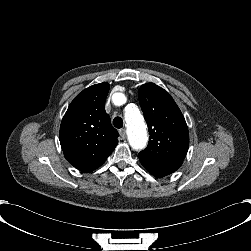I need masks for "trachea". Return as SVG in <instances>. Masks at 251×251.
<instances>
[{"instance_id": "obj_1", "label": "trachea", "mask_w": 251, "mask_h": 251, "mask_svg": "<svg viewBox=\"0 0 251 251\" xmlns=\"http://www.w3.org/2000/svg\"><path fill=\"white\" fill-rule=\"evenodd\" d=\"M113 125L118 129L122 128L123 127L122 118L121 117H115L114 120H113Z\"/></svg>"}]
</instances>
